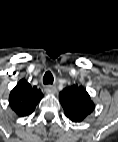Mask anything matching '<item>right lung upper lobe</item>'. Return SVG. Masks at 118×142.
<instances>
[{
  "label": "right lung upper lobe",
  "instance_id": "cb5924a9",
  "mask_svg": "<svg viewBox=\"0 0 118 142\" xmlns=\"http://www.w3.org/2000/svg\"><path fill=\"white\" fill-rule=\"evenodd\" d=\"M42 98L41 90L36 86H31L25 79H21L11 91L9 103L17 115L27 116L35 110Z\"/></svg>",
  "mask_w": 118,
  "mask_h": 142
}]
</instances>
